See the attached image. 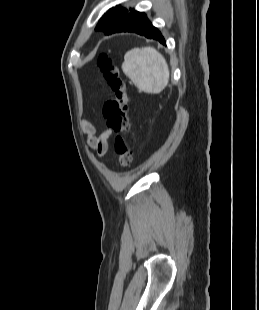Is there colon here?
<instances>
[{"instance_id":"obj_1","label":"colon","mask_w":259,"mask_h":310,"mask_svg":"<svg viewBox=\"0 0 259 310\" xmlns=\"http://www.w3.org/2000/svg\"><path fill=\"white\" fill-rule=\"evenodd\" d=\"M98 66L113 92V97L104 103L102 114L108 129L116 134L115 150L119 155L120 166L126 169L130 167L133 159L126 85L118 65L108 55L99 57Z\"/></svg>"}]
</instances>
